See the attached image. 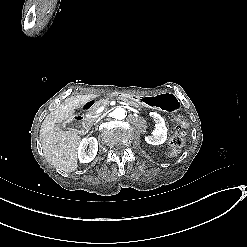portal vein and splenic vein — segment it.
I'll use <instances>...</instances> for the list:
<instances>
[{
    "label": "portal vein and splenic vein",
    "mask_w": 247,
    "mask_h": 247,
    "mask_svg": "<svg viewBox=\"0 0 247 247\" xmlns=\"http://www.w3.org/2000/svg\"><path fill=\"white\" fill-rule=\"evenodd\" d=\"M119 103H121L124 106H129V103H125L123 100H119ZM104 110H105V106H101V107H99L98 110H94V113L95 114H99V113H101Z\"/></svg>",
    "instance_id": "18ae733b"
}]
</instances>
